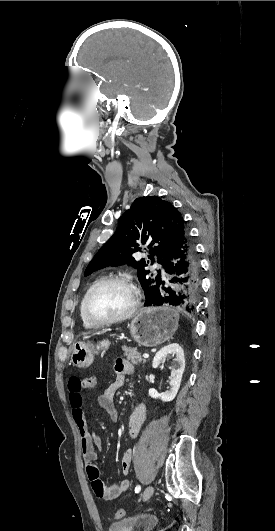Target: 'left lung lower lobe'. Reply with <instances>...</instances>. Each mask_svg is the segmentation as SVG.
Wrapping results in <instances>:
<instances>
[{"mask_svg": "<svg viewBox=\"0 0 275 531\" xmlns=\"http://www.w3.org/2000/svg\"><path fill=\"white\" fill-rule=\"evenodd\" d=\"M165 272L169 274L168 284L162 286L153 303L145 306H172L194 315L201 296L200 264L186 228L169 253Z\"/></svg>", "mask_w": 275, "mask_h": 531, "instance_id": "0a47b994", "label": "left lung lower lobe"}]
</instances>
